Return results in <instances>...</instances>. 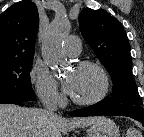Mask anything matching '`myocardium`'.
Segmentation results:
<instances>
[{"label":"myocardium","instance_id":"f54148a6","mask_svg":"<svg viewBox=\"0 0 144 137\" xmlns=\"http://www.w3.org/2000/svg\"><path fill=\"white\" fill-rule=\"evenodd\" d=\"M75 68L76 69L91 68L97 71L102 80V88L95 97L87 100H79L70 95L71 102L78 106H93L103 101L106 98L110 88V79L106 69L100 63L90 60H84L78 62Z\"/></svg>","mask_w":144,"mask_h":137}]
</instances>
